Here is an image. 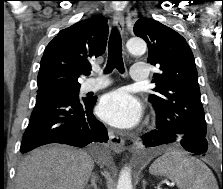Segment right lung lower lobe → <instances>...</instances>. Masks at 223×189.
Wrapping results in <instances>:
<instances>
[{
    "instance_id": "right-lung-lower-lobe-1",
    "label": "right lung lower lobe",
    "mask_w": 223,
    "mask_h": 189,
    "mask_svg": "<svg viewBox=\"0 0 223 189\" xmlns=\"http://www.w3.org/2000/svg\"><path fill=\"white\" fill-rule=\"evenodd\" d=\"M95 102L73 96L37 95L21 153L49 143L84 147L91 142H106L107 130L92 112Z\"/></svg>"
}]
</instances>
